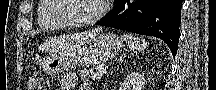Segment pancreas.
I'll return each instance as SVG.
<instances>
[{"mask_svg": "<svg viewBox=\"0 0 216 90\" xmlns=\"http://www.w3.org/2000/svg\"><path fill=\"white\" fill-rule=\"evenodd\" d=\"M95 72H99V67H87V70H81L78 74L82 82H89L93 80Z\"/></svg>", "mask_w": 216, "mask_h": 90, "instance_id": "cf45deb5", "label": "pancreas"}]
</instances>
